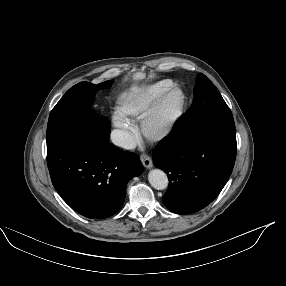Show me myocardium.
I'll return each instance as SVG.
<instances>
[{"label": "myocardium", "mask_w": 286, "mask_h": 286, "mask_svg": "<svg viewBox=\"0 0 286 286\" xmlns=\"http://www.w3.org/2000/svg\"><path fill=\"white\" fill-rule=\"evenodd\" d=\"M175 92L179 93V102L176 109L164 122L157 124V117L164 102ZM185 107L186 95L180 86L173 85L165 90L141 118V133L144 138L152 143H159L166 140L178 126Z\"/></svg>", "instance_id": "f54148a6"}]
</instances>
